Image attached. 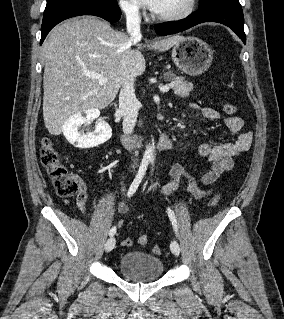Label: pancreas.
<instances>
[{
  "label": "pancreas",
  "mask_w": 284,
  "mask_h": 319,
  "mask_svg": "<svg viewBox=\"0 0 284 319\" xmlns=\"http://www.w3.org/2000/svg\"><path fill=\"white\" fill-rule=\"evenodd\" d=\"M165 79L172 81L171 88L174 90V93L180 97H187L189 92L192 90L193 85L185 81L183 77L175 76L173 73H166Z\"/></svg>",
  "instance_id": "1"
}]
</instances>
